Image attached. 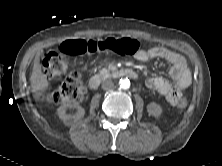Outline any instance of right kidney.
I'll return each mask as SVG.
<instances>
[{
	"mask_svg": "<svg viewBox=\"0 0 222 166\" xmlns=\"http://www.w3.org/2000/svg\"><path fill=\"white\" fill-rule=\"evenodd\" d=\"M72 106H74L77 109V112L74 115H68L66 113V110H67V108L72 107ZM57 114L65 125L70 126V125L76 123L78 120H80L84 116L85 110H84V108H82L79 105H71V104L67 103V104L61 105L57 109Z\"/></svg>",
	"mask_w": 222,
	"mask_h": 166,
	"instance_id": "right-kidney-1",
	"label": "right kidney"
}]
</instances>
